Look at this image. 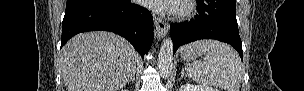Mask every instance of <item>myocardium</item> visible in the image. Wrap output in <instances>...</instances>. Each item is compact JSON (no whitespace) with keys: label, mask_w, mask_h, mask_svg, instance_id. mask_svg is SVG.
<instances>
[{"label":"myocardium","mask_w":304,"mask_h":91,"mask_svg":"<svg viewBox=\"0 0 304 91\" xmlns=\"http://www.w3.org/2000/svg\"><path fill=\"white\" fill-rule=\"evenodd\" d=\"M193 11H194V6L192 4V1H182L178 5V8L175 11V13L177 17L184 18L190 16Z\"/></svg>","instance_id":"obj_1"}]
</instances>
